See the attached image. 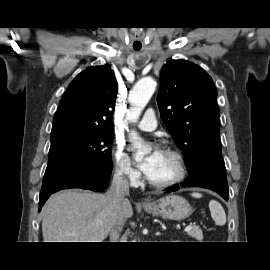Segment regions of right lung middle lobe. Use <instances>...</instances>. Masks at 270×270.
Returning a JSON list of instances; mask_svg holds the SVG:
<instances>
[{"label": "right lung middle lobe", "instance_id": "right-lung-middle-lobe-1", "mask_svg": "<svg viewBox=\"0 0 270 270\" xmlns=\"http://www.w3.org/2000/svg\"><path fill=\"white\" fill-rule=\"evenodd\" d=\"M113 130L64 126L52 129L46 170L75 159H84L95 170H112Z\"/></svg>", "mask_w": 270, "mask_h": 270}]
</instances>
